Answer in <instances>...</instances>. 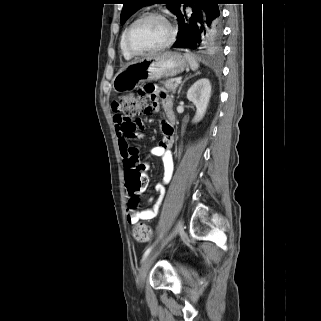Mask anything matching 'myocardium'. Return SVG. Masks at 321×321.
Segmentation results:
<instances>
[{"label": "myocardium", "mask_w": 321, "mask_h": 321, "mask_svg": "<svg viewBox=\"0 0 321 321\" xmlns=\"http://www.w3.org/2000/svg\"><path fill=\"white\" fill-rule=\"evenodd\" d=\"M147 18H158L161 19L162 21L165 22V24L168 27L169 30V36L167 38V40L162 43L161 45L151 48L149 50L146 51H135L130 47L129 44V36L130 33L132 31V29L142 20L147 19ZM176 36H177V30L174 26V24L171 22V20L163 13L158 12V11H149V12H145L142 15H140L137 19H135L126 29L125 34H124V46L126 51L132 55V56H145V55H149V54H153V53H157L160 51H163L167 48H169L176 40Z\"/></svg>", "instance_id": "obj_1"}]
</instances>
